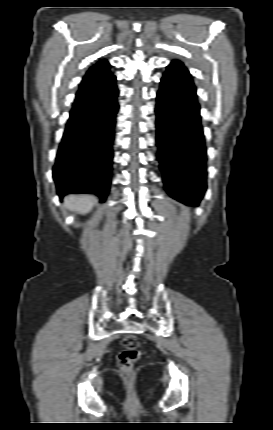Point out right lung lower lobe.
I'll list each match as a JSON object with an SVG mask.
<instances>
[{"instance_id": "right-lung-lower-lobe-1", "label": "right lung lower lobe", "mask_w": 273, "mask_h": 430, "mask_svg": "<svg viewBox=\"0 0 273 430\" xmlns=\"http://www.w3.org/2000/svg\"><path fill=\"white\" fill-rule=\"evenodd\" d=\"M115 80L111 75L90 85L73 105L53 168L60 198L71 193L96 194L100 202L107 198L119 109Z\"/></svg>"}]
</instances>
